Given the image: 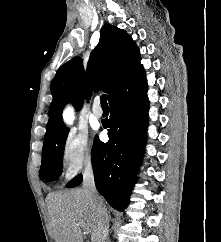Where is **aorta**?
Instances as JSON below:
<instances>
[{
  "mask_svg": "<svg viewBox=\"0 0 221 242\" xmlns=\"http://www.w3.org/2000/svg\"><path fill=\"white\" fill-rule=\"evenodd\" d=\"M72 110L70 108H67L64 112V119L66 122L70 123L72 121Z\"/></svg>",
  "mask_w": 221,
  "mask_h": 242,
  "instance_id": "aorta-1",
  "label": "aorta"
}]
</instances>
